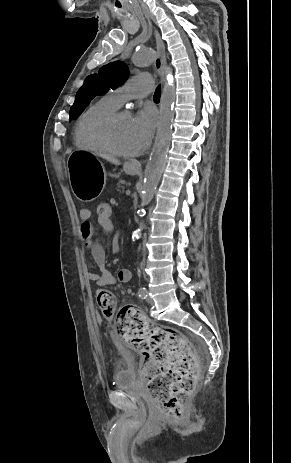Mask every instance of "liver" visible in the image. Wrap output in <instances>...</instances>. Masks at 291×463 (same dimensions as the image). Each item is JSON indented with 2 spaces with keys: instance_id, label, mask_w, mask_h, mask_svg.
Segmentation results:
<instances>
[{
  "instance_id": "6515ba94",
  "label": "liver",
  "mask_w": 291,
  "mask_h": 463,
  "mask_svg": "<svg viewBox=\"0 0 291 463\" xmlns=\"http://www.w3.org/2000/svg\"><path fill=\"white\" fill-rule=\"evenodd\" d=\"M100 156L103 157L104 159H106L107 161L115 164V165H120V161L118 159H116L115 157L111 156V155L100 154Z\"/></svg>"
}]
</instances>
